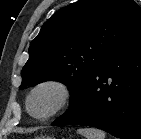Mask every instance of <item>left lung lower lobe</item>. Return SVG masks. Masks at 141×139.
<instances>
[{
    "label": "left lung lower lobe",
    "mask_w": 141,
    "mask_h": 139,
    "mask_svg": "<svg viewBox=\"0 0 141 139\" xmlns=\"http://www.w3.org/2000/svg\"><path fill=\"white\" fill-rule=\"evenodd\" d=\"M67 124L141 139V28L103 59L77 100L52 123Z\"/></svg>",
    "instance_id": "1"
}]
</instances>
